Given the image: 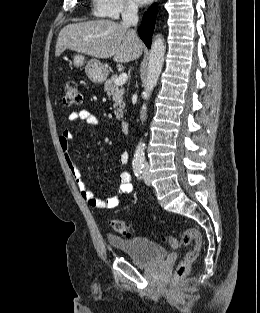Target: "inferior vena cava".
<instances>
[{
  "instance_id": "inferior-vena-cava-1",
  "label": "inferior vena cava",
  "mask_w": 260,
  "mask_h": 313,
  "mask_svg": "<svg viewBox=\"0 0 260 313\" xmlns=\"http://www.w3.org/2000/svg\"><path fill=\"white\" fill-rule=\"evenodd\" d=\"M138 7L133 4H126L122 15V25L125 27L136 26L138 23Z\"/></svg>"
}]
</instances>
